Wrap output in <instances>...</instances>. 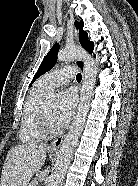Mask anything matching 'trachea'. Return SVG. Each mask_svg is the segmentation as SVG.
<instances>
[{"label":"trachea","instance_id":"3493384b","mask_svg":"<svg viewBox=\"0 0 138 186\" xmlns=\"http://www.w3.org/2000/svg\"><path fill=\"white\" fill-rule=\"evenodd\" d=\"M77 81H81L82 80V75L80 73L77 74L76 76Z\"/></svg>","mask_w":138,"mask_h":186}]
</instances>
